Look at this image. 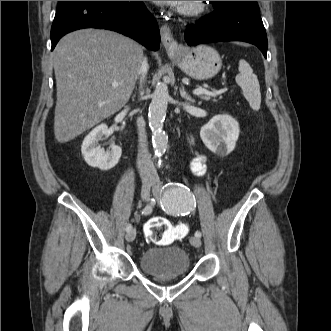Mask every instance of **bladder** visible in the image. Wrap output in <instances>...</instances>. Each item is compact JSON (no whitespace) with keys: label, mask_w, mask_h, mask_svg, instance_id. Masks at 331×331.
<instances>
[{"label":"bladder","mask_w":331,"mask_h":331,"mask_svg":"<svg viewBox=\"0 0 331 331\" xmlns=\"http://www.w3.org/2000/svg\"><path fill=\"white\" fill-rule=\"evenodd\" d=\"M139 266L154 278L183 277L190 271L191 261L187 252L179 245L152 247L139 256Z\"/></svg>","instance_id":"bladder-1"}]
</instances>
